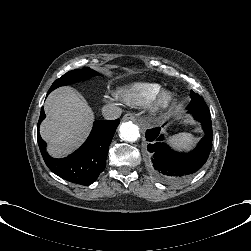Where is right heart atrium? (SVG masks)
Wrapping results in <instances>:
<instances>
[{
	"label": "right heart atrium",
	"instance_id": "1",
	"mask_svg": "<svg viewBox=\"0 0 251 251\" xmlns=\"http://www.w3.org/2000/svg\"><path fill=\"white\" fill-rule=\"evenodd\" d=\"M104 98H105L106 101H112V100H113V99L110 98L108 95H105Z\"/></svg>",
	"mask_w": 251,
	"mask_h": 251
}]
</instances>
